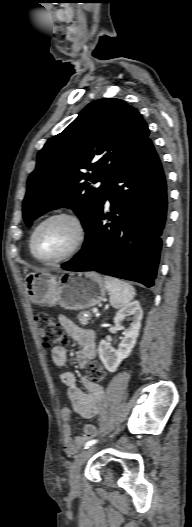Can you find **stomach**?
Here are the masks:
<instances>
[{"label": "stomach", "instance_id": "obj_1", "mask_svg": "<svg viewBox=\"0 0 192 527\" xmlns=\"http://www.w3.org/2000/svg\"><path fill=\"white\" fill-rule=\"evenodd\" d=\"M33 303L82 310L101 303L106 294L103 278L95 272H65L60 276L41 271L26 277Z\"/></svg>", "mask_w": 192, "mask_h": 527}]
</instances>
